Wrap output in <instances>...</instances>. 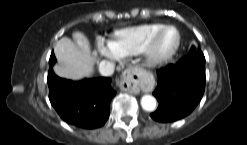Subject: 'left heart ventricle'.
I'll return each mask as SVG.
<instances>
[{
  "instance_id": "b2bd125f",
  "label": "left heart ventricle",
  "mask_w": 247,
  "mask_h": 145,
  "mask_svg": "<svg viewBox=\"0 0 247 145\" xmlns=\"http://www.w3.org/2000/svg\"><path fill=\"white\" fill-rule=\"evenodd\" d=\"M176 43V33L172 29L165 30L158 38L156 52L159 54L168 53Z\"/></svg>"
}]
</instances>
